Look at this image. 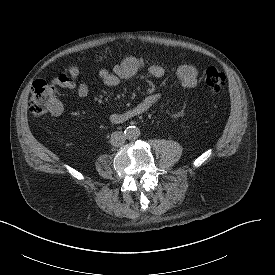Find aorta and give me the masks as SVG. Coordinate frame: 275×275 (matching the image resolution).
Masks as SVG:
<instances>
[{
	"label": "aorta",
	"mask_w": 275,
	"mask_h": 275,
	"mask_svg": "<svg viewBox=\"0 0 275 275\" xmlns=\"http://www.w3.org/2000/svg\"><path fill=\"white\" fill-rule=\"evenodd\" d=\"M125 136L129 140H135L140 136V129L136 126H129L125 129Z\"/></svg>",
	"instance_id": "762f6f07"
}]
</instances>
